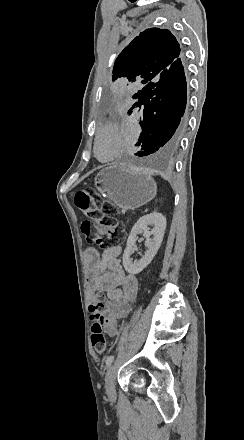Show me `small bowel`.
Instances as JSON below:
<instances>
[{
	"label": "small bowel",
	"instance_id": "small-bowel-1",
	"mask_svg": "<svg viewBox=\"0 0 244 440\" xmlns=\"http://www.w3.org/2000/svg\"><path fill=\"white\" fill-rule=\"evenodd\" d=\"M121 253L122 247L114 245L101 253L89 248L84 257L90 299L97 291L107 295L105 332L111 338L118 334L119 321L131 313L139 290L137 277L127 273L121 264Z\"/></svg>",
	"mask_w": 244,
	"mask_h": 440
}]
</instances>
